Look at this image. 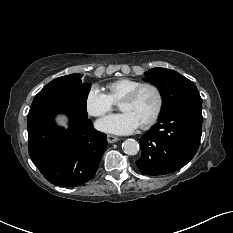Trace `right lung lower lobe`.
Returning a JSON list of instances; mask_svg holds the SVG:
<instances>
[{"label": "right lung lower lobe", "instance_id": "obj_1", "mask_svg": "<svg viewBox=\"0 0 233 233\" xmlns=\"http://www.w3.org/2000/svg\"><path fill=\"white\" fill-rule=\"evenodd\" d=\"M58 112L69 115L68 129L54 124ZM27 129L29 155L50 183L75 187L94 177L107 147V136L93 128L87 111L66 103H43L30 108Z\"/></svg>", "mask_w": 233, "mask_h": 233}]
</instances>
